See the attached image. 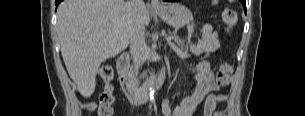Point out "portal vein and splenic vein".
<instances>
[{
  "label": "portal vein and splenic vein",
  "mask_w": 305,
  "mask_h": 116,
  "mask_svg": "<svg viewBox=\"0 0 305 116\" xmlns=\"http://www.w3.org/2000/svg\"><path fill=\"white\" fill-rule=\"evenodd\" d=\"M173 39V37H171V36H169L168 38H167V40L170 42L171 40Z\"/></svg>",
  "instance_id": "1"
}]
</instances>
